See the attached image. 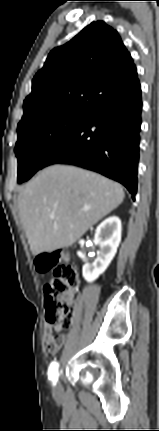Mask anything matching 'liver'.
<instances>
[{"mask_svg": "<svg viewBox=\"0 0 159 431\" xmlns=\"http://www.w3.org/2000/svg\"><path fill=\"white\" fill-rule=\"evenodd\" d=\"M123 199L122 186L97 173L67 165L45 168L18 196L33 255L71 246Z\"/></svg>", "mask_w": 159, "mask_h": 431, "instance_id": "obj_1", "label": "liver"}]
</instances>
